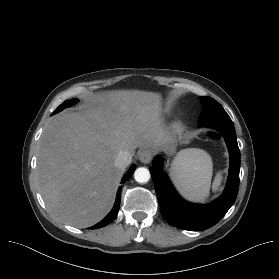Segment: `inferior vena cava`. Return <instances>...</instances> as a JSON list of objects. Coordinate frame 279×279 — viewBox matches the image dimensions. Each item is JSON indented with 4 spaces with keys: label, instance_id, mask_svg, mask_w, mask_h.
Segmentation results:
<instances>
[{
    "label": "inferior vena cava",
    "instance_id": "602c4592",
    "mask_svg": "<svg viewBox=\"0 0 279 279\" xmlns=\"http://www.w3.org/2000/svg\"><path fill=\"white\" fill-rule=\"evenodd\" d=\"M132 161V155L127 151H121L115 159V166L125 169Z\"/></svg>",
    "mask_w": 279,
    "mask_h": 279
}]
</instances>
